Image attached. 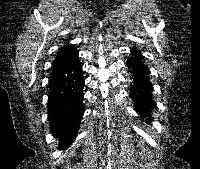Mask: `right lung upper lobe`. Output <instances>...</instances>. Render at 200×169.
<instances>
[{
  "label": "right lung upper lobe",
  "instance_id": "cb5924a9",
  "mask_svg": "<svg viewBox=\"0 0 200 169\" xmlns=\"http://www.w3.org/2000/svg\"><path fill=\"white\" fill-rule=\"evenodd\" d=\"M78 54L77 49L75 46L71 44H67L63 48L60 49L58 52L57 57L55 58L53 64L61 63L67 60L74 58Z\"/></svg>",
  "mask_w": 200,
  "mask_h": 169
}]
</instances>
